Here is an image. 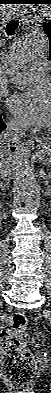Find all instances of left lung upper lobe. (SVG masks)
Segmentation results:
<instances>
[{
  "label": "left lung upper lobe",
  "instance_id": "1",
  "mask_svg": "<svg viewBox=\"0 0 51 393\" xmlns=\"http://www.w3.org/2000/svg\"><path fill=\"white\" fill-rule=\"evenodd\" d=\"M43 29H44L45 33L47 34V36L49 37V40H50V59H51V22L46 23L43 26Z\"/></svg>",
  "mask_w": 51,
  "mask_h": 393
}]
</instances>
